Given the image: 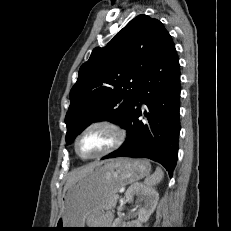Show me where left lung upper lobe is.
<instances>
[{"label":"left lung upper lobe","instance_id":"obj_1","mask_svg":"<svg viewBox=\"0 0 231 231\" xmlns=\"http://www.w3.org/2000/svg\"><path fill=\"white\" fill-rule=\"evenodd\" d=\"M168 34L159 20L139 15L106 47L92 51L70 91L67 144L94 121L123 125L140 92L141 79Z\"/></svg>","mask_w":231,"mask_h":231}]
</instances>
